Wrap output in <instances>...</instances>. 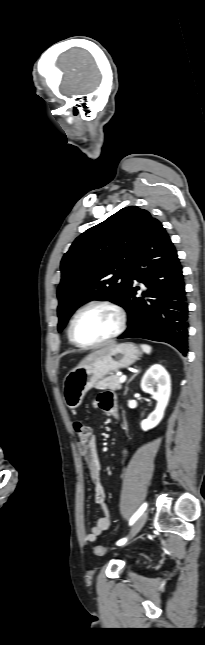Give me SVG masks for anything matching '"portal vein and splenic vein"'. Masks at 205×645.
<instances>
[{
	"label": "portal vein and splenic vein",
	"mask_w": 205,
	"mask_h": 645,
	"mask_svg": "<svg viewBox=\"0 0 205 645\" xmlns=\"http://www.w3.org/2000/svg\"><path fill=\"white\" fill-rule=\"evenodd\" d=\"M126 378H127V377H126V375H122V376L120 377V380H119V381H120V383L125 382V381H126Z\"/></svg>",
	"instance_id": "obj_1"
}]
</instances>
